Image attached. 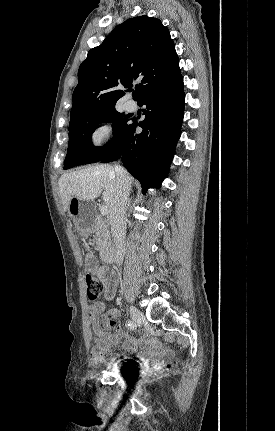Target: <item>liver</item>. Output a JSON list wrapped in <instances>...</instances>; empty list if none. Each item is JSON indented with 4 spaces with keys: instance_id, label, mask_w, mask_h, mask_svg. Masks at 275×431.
I'll list each match as a JSON object with an SVG mask.
<instances>
[{
    "instance_id": "1",
    "label": "liver",
    "mask_w": 275,
    "mask_h": 431,
    "mask_svg": "<svg viewBox=\"0 0 275 431\" xmlns=\"http://www.w3.org/2000/svg\"><path fill=\"white\" fill-rule=\"evenodd\" d=\"M58 184L64 211L68 210L72 197L93 201L100 194L110 208L117 191L116 172L111 165L101 164L64 173Z\"/></svg>"
}]
</instances>
